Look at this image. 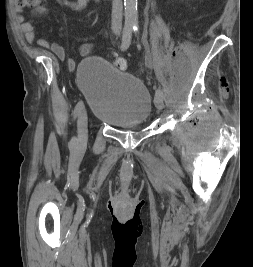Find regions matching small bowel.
Returning <instances> with one entry per match:
<instances>
[{"mask_svg": "<svg viewBox=\"0 0 253 267\" xmlns=\"http://www.w3.org/2000/svg\"><path fill=\"white\" fill-rule=\"evenodd\" d=\"M59 3L69 9H71L74 12L82 11L90 1H98V0H75V1H69V0H58ZM44 8H38L37 12H44ZM21 31L25 35V39L28 43L33 44L37 42L42 48L49 49L53 52V54L58 57L59 59L63 60L65 58V51L64 48L57 42H49L46 39L43 38H37L33 21L32 20H26L22 22L21 24ZM102 33L104 34V30L101 29ZM95 43L94 42H85L80 45L79 47V53L81 56H88L93 48Z\"/></svg>", "mask_w": 253, "mask_h": 267, "instance_id": "obj_1", "label": "small bowel"}]
</instances>
